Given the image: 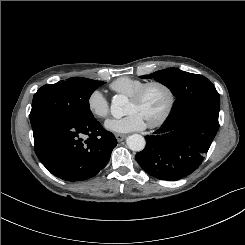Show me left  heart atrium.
Segmentation results:
<instances>
[{"label":"left heart atrium","mask_w":245,"mask_h":245,"mask_svg":"<svg viewBox=\"0 0 245 245\" xmlns=\"http://www.w3.org/2000/svg\"><path fill=\"white\" fill-rule=\"evenodd\" d=\"M105 126L116 133H127L144 129L146 123L139 114L129 113L124 117L108 120Z\"/></svg>","instance_id":"39dd6f15"}]
</instances>
